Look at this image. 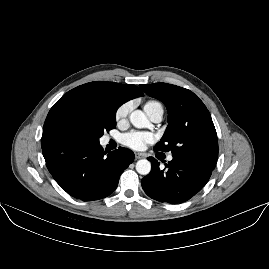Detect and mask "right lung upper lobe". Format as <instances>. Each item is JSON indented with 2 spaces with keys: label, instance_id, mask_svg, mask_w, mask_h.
Returning a JSON list of instances; mask_svg holds the SVG:
<instances>
[{
  "label": "right lung upper lobe",
  "instance_id": "right-lung-upper-lobe-1",
  "mask_svg": "<svg viewBox=\"0 0 269 269\" xmlns=\"http://www.w3.org/2000/svg\"><path fill=\"white\" fill-rule=\"evenodd\" d=\"M140 96H143V93L135 85L94 81L78 86L64 94L51 108L43 126V135L52 132L49 118L54 111L61 107L69 105L84 108L104 106L118 109L123 103Z\"/></svg>",
  "mask_w": 269,
  "mask_h": 269
}]
</instances>
